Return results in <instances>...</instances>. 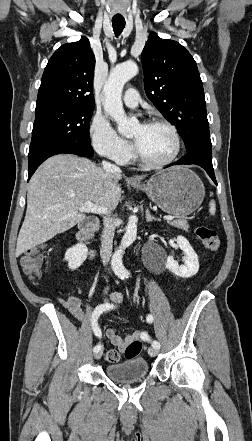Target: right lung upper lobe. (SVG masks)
Returning a JSON list of instances; mask_svg holds the SVG:
<instances>
[{"mask_svg": "<svg viewBox=\"0 0 252 441\" xmlns=\"http://www.w3.org/2000/svg\"><path fill=\"white\" fill-rule=\"evenodd\" d=\"M95 56L86 37L59 47L44 70L36 107L64 104L94 107Z\"/></svg>", "mask_w": 252, "mask_h": 441, "instance_id": "right-lung-upper-lobe-1", "label": "right lung upper lobe"}]
</instances>
